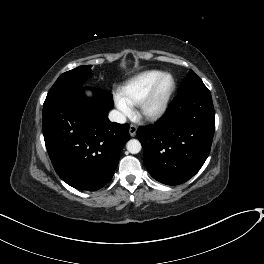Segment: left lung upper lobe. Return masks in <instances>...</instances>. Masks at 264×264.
<instances>
[{
    "label": "left lung upper lobe",
    "instance_id": "5c2ea615",
    "mask_svg": "<svg viewBox=\"0 0 264 264\" xmlns=\"http://www.w3.org/2000/svg\"><path fill=\"white\" fill-rule=\"evenodd\" d=\"M198 88H207V87L204 85V83L198 77V75L194 73L192 70H190L186 75V80L180 85L178 89V94L191 89H198Z\"/></svg>",
    "mask_w": 264,
    "mask_h": 264
}]
</instances>
